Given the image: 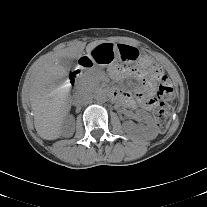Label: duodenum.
<instances>
[{
  "label": "duodenum",
  "mask_w": 207,
  "mask_h": 207,
  "mask_svg": "<svg viewBox=\"0 0 207 207\" xmlns=\"http://www.w3.org/2000/svg\"><path fill=\"white\" fill-rule=\"evenodd\" d=\"M93 65L92 61L89 60V59H86V60H83L82 62H80V64L78 65V67H76L74 70H72L70 73H69V76H68V79L70 81V83L72 85H76L77 83V80L81 74V72L86 69V68H89ZM105 92L107 94H109L110 96H113L115 97V93L112 92V91H109V90H105Z\"/></svg>",
  "instance_id": "duodenum-1"
}]
</instances>
